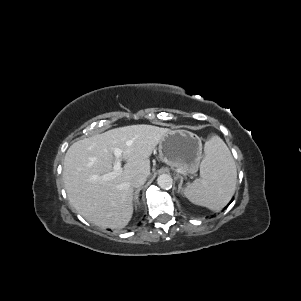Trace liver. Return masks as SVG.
Wrapping results in <instances>:
<instances>
[{
	"label": "liver",
	"mask_w": 301,
	"mask_h": 301,
	"mask_svg": "<svg viewBox=\"0 0 301 301\" xmlns=\"http://www.w3.org/2000/svg\"><path fill=\"white\" fill-rule=\"evenodd\" d=\"M168 131L152 125H131L72 144L65 154L63 180L77 212L99 227L124 228L133 214L131 181L139 173L150 175L149 157ZM114 148L121 149V159L126 163L118 176L103 180L101 177L113 170Z\"/></svg>",
	"instance_id": "liver-1"
}]
</instances>
